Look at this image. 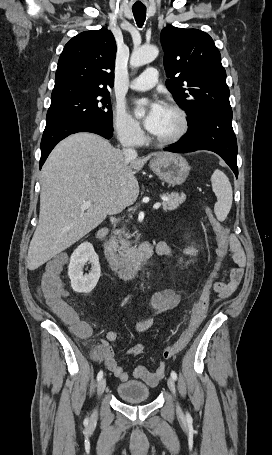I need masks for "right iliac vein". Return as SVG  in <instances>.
<instances>
[{"mask_svg":"<svg viewBox=\"0 0 272 455\" xmlns=\"http://www.w3.org/2000/svg\"><path fill=\"white\" fill-rule=\"evenodd\" d=\"M105 387H106V379L105 378H101L98 382V385H97V394L98 396H100L104 390H105Z\"/></svg>","mask_w":272,"mask_h":455,"instance_id":"right-iliac-vein-1","label":"right iliac vein"}]
</instances>
